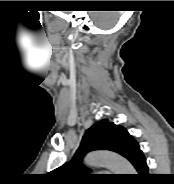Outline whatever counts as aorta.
Returning a JSON list of instances; mask_svg holds the SVG:
<instances>
[{"instance_id":"1","label":"aorta","mask_w":174,"mask_h":184,"mask_svg":"<svg viewBox=\"0 0 174 184\" xmlns=\"http://www.w3.org/2000/svg\"><path fill=\"white\" fill-rule=\"evenodd\" d=\"M90 166H105L115 174H135V169L127 159L110 151H93L86 158Z\"/></svg>"}]
</instances>
